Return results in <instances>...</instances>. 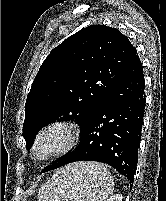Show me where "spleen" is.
<instances>
[{
	"instance_id": "3e777b00",
	"label": "spleen",
	"mask_w": 166,
	"mask_h": 201,
	"mask_svg": "<svg viewBox=\"0 0 166 201\" xmlns=\"http://www.w3.org/2000/svg\"><path fill=\"white\" fill-rule=\"evenodd\" d=\"M114 180L102 164L75 162L59 169L39 191V201H106Z\"/></svg>"
}]
</instances>
